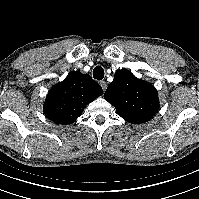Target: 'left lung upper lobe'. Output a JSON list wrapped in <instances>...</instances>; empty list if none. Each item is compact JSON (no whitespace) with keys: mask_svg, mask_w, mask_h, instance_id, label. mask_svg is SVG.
<instances>
[{"mask_svg":"<svg viewBox=\"0 0 199 199\" xmlns=\"http://www.w3.org/2000/svg\"><path fill=\"white\" fill-rule=\"evenodd\" d=\"M124 120L140 124L159 110L157 91L150 83L136 78L126 69L118 70L104 94Z\"/></svg>","mask_w":199,"mask_h":199,"instance_id":"left-lung-upper-lobe-1","label":"left lung upper lobe"}]
</instances>
